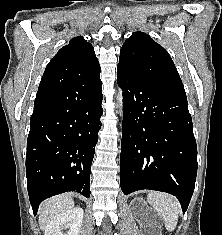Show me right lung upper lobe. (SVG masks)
I'll return each mask as SVG.
<instances>
[{
	"mask_svg": "<svg viewBox=\"0 0 222 235\" xmlns=\"http://www.w3.org/2000/svg\"><path fill=\"white\" fill-rule=\"evenodd\" d=\"M100 71L93 46L82 36H77L62 47L48 63L41 82L71 83L94 77L100 74Z\"/></svg>",
	"mask_w": 222,
	"mask_h": 235,
	"instance_id": "obj_1",
	"label": "right lung upper lobe"
}]
</instances>
